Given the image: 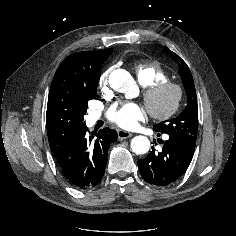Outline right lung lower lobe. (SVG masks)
I'll return each mask as SVG.
<instances>
[{
    "label": "right lung lower lobe",
    "instance_id": "obj_1",
    "mask_svg": "<svg viewBox=\"0 0 236 236\" xmlns=\"http://www.w3.org/2000/svg\"><path fill=\"white\" fill-rule=\"evenodd\" d=\"M86 125L79 128L63 153L56 157L68 182L78 189L96 186L105 171L108 149L117 140V132L106 127L86 136Z\"/></svg>",
    "mask_w": 236,
    "mask_h": 236
}]
</instances>
